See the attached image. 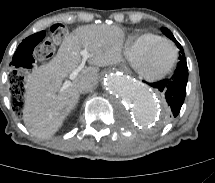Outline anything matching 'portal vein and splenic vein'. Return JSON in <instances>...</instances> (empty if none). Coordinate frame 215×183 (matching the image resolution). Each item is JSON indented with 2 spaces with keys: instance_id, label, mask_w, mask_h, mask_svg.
I'll return each instance as SVG.
<instances>
[{
  "instance_id": "obj_1",
  "label": "portal vein and splenic vein",
  "mask_w": 215,
  "mask_h": 183,
  "mask_svg": "<svg viewBox=\"0 0 215 183\" xmlns=\"http://www.w3.org/2000/svg\"><path fill=\"white\" fill-rule=\"evenodd\" d=\"M80 55L82 56V62L81 64L75 69L73 70L70 75H69V79L73 80L77 77V75L80 73V71L84 68V65L87 61V59L89 58V52L87 49H83L80 51ZM70 80H66L62 87H61V91L67 89L70 85H71V81Z\"/></svg>"
}]
</instances>
